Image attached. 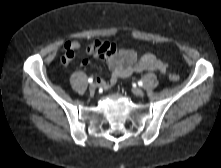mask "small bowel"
Returning a JSON list of instances; mask_svg holds the SVG:
<instances>
[{
	"instance_id": "c3829d8e",
	"label": "small bowel",
	"mask_w": 221,
	"mask_h": 168,
	"mask_svg": "<svg viewBox=\"0 0 221 168\" xmlns=\"http://www.w3.org/2000/svg\"><path fill=\"white\" fill-rule=\"evenodd\" d=\"M81 47L78 41H69L65 44V54L62 62L68 64L75 57V51ZM89 54L105 61L111 71L109 79L97 78V84L109 89L116 84L119 79L131 76L134 73L143 71H157L166 73L167 64L152 53H138L133 49L118 48L111 42L95 41L86 47ZM81 64H89L88 59L81 60Z\"/></svg>"
}]
</instances>
